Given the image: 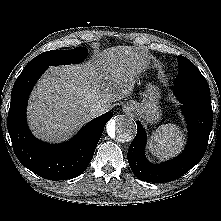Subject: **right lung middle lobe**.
Wrapping results in <instances>:
<instances>
[{"instance_id":"obj_1","label":"right lung middle lobe","mask_w":221,"mask_h":221,"mask_svg":"<svg viewBox=\"0 0 221 221\" xmlns=\"http://www.w3.org/2000/svg\"><path fill=\"white\" fill-rule=\"evenodd\" d=\"M88 55V50L85 47H77L71 50H53L44 52L36 56L26 66L34 65H60L78 63Z\"/></svg>"}]
</instances>
